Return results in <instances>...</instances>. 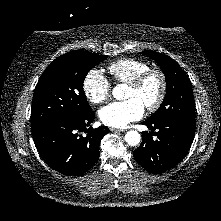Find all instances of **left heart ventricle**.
Here are the masks:
<instances>
[{"label": "left heart ventricle", "mask_w": 221, "mask_h": 221, "mask_svg": "<svg viewBox=\"0 0 221 221\" xmlns=\"http://www.w3.org/2000/svg\"><path fill=\"white\" fill-rule=\"evenodd\" d=\"M159 88V79L156 76H151L138 90L128 87L126 98H136L145 107L155 101L159 93Z\"/></svg>", "instance_id": "obj_1"}]
</instances>
